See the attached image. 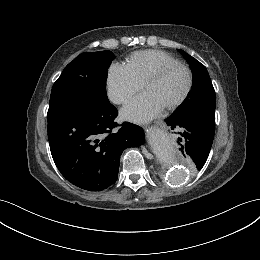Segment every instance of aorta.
Here are the masks:
<instances>
[{
  "mask_svg": "<svg viewBox=\"0 0 260 260\" xmlns=\"http://www.w3.org/2000/svg\"><path fill=\"white\" fill-rule=\"evenodd\" d=\"M148 143L158 159L167 167L166 178L170 183L178 184L189 177L187 162L166 134H151Z\"/></svg>",
  "mask_w": 260,
  "mask_h": 260,
  "instance_id": "1",
  "label": "aorta"
}]
</instances>
